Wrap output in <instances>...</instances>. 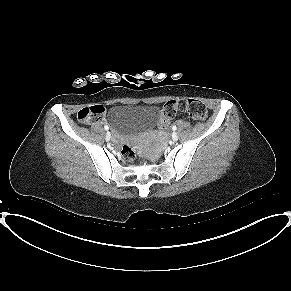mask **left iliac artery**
Instances as JSON below:
<instances>
[{"instance_id": "1", "label": "left iliac artery", "mask_w": 291, "mask_h": 291, "mask_svg": "<svg viewBox=\"0 0 291 291\" xmlns=\"http://www.w3.org/2000/svg\"><path fill=\"white\" fill-rule=\"evenodd\" d=\"M172 129L175 131V130L177 129V127L174 125V126L172 127Z\"/></svg>"}]
</instances>
